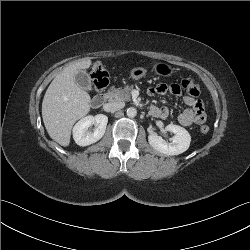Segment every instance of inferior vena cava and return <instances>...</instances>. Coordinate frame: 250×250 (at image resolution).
<instances>
[{
	"instance_id": "1",
	"label": "inferior vena cava",
	"mask_w": 250,
	"mask_h": 250,
	"mask_svg": "<svg viewBox=\"0 0 250 250\" xmlns=\"http://www.w3.org/2000/svg\"><path fill=\"white\" fill-rule=\"evenodd\" d=\"M125 106L123 102H110L105 105V110L109 112H115L122 109Z\"/></svg>"
}]
</instances>
